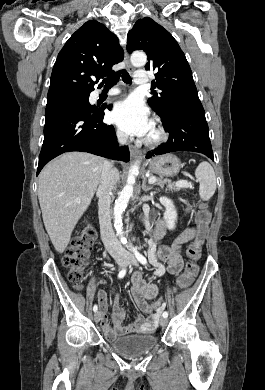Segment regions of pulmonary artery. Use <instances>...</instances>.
I'll list each match as a JSON object with an SVG mask.
<instances>
[{
  "mask_svg": "<svg viewBox=\"0 0 265 390\" xmlns=\"http://www.w3.org/2000/svg\"><path fill=\"white\" fill-rule=\"evenodd\" d=\"M134 82L137 85H147L150 82V76L147 70H138L135 74ZM119 90L114 88L108 92V95H117Z\"/></svg>",
  "mask_w": 265,
  "mask_h": 390,
  "instance_id": "pulmonary-artery-1",
  "label": "pulmonary artery"
}]
</instances>
